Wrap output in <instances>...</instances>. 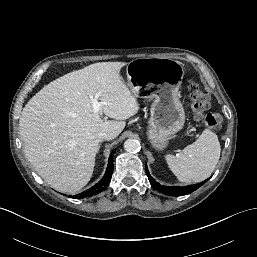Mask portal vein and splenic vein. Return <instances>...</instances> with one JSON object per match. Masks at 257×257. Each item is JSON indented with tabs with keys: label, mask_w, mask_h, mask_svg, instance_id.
I'll list each match as a JSON object with an SVG mask.
<instances>
[{
	"label": "portal vein and splenic vein",
	"mask_w": 257,
	"mask_h": 257,
	"mask_svg": "<svg viewBox=\"0 0 257 257\" xmlns=\"http://www.w3.org/2000/svg\"><path fill=\"white\" fill-rule=\"evenodd\" d=\"M91 102H92V107L95 112L99 113L101 110V107L105 104L102 102L98 101V94L95 95L94 97H91Z\"/></svg>",
	"instance_id": "portal-vein-and-splenic-vein-1"
}]
</instances>
